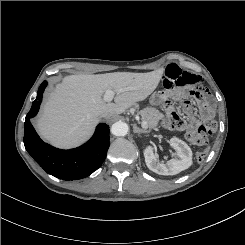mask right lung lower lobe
I'll list each match as a JSON object with an SVG mask.
<instances>
[{
    "label": "right lung lower lobe",
    "mask_w": 245,
    "mask_h": 245,
    "mask_svg": "<svg viewBox=\"0 0 245 245\" xmlns=\"http://www.w3.org/2000/svg\"><path fill=\"white\" fill-rule=\"evenodd\" d=\"M44 81L37 92L31 110L24 123V145L33 159L50 175L70 181L85 178L97 170L106 158L109 148V126L101 123L96 127L93 137L84 145L70 150H61L44 143L34 130L30 119L40 107Z\"/></svg>",
    "instance_id": "1"
}]
</instances>
